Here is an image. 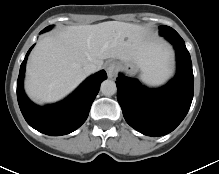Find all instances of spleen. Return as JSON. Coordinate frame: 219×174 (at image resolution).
<instances>
[{
  "mask_svg": "<svg viewBox=\"0 0 219 174\" xmlns=\"http://www.w3.org/2000/svg\"><path fill=\"white\" fill-rule=\"evenodd\" d=\"M166 58L153 67L145 69L140 74V80L148 86H160L164 84L172 75V69L169 63V55L166 52Z\"/></svg>",
  "mask_w": 219,
  "mask_h": 174,
  "instance_id": "spleen-1",
  "label": "spleen"
}]
</instances>
